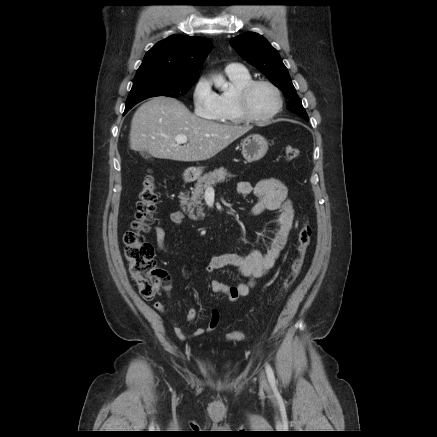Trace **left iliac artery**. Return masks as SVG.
I'll use <instances>...</instances> for the list:
<instances>
[{"label": "left iliac artery", "mask_w": 437, "mask_h": 437, "mask_svg": "<svg viewBox=\"0 0 437 437\" xmlns=\"http://www.w3.org/2000/svg\"><path fill=\"white\" fill-rule=\"evenodd\" d=\"M265 368H266V373H267V377H268L270 385L273 388H276V380H275V376H274V372H273L272 367L268 363H266Z\"/></svg>", "instance_id": "obj_1"}]
</instances>
